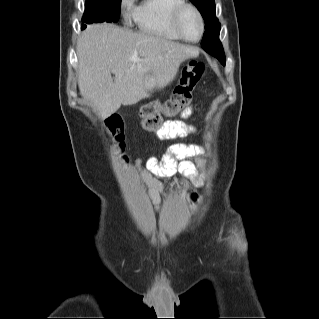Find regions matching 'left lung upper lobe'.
Wrapping results in <instances>:
<instances>
[{
    "label": "left lung upper lobe",
    "mask_w": 319,
    "mask_h": 319,
    "mask_svg": "<svg viewBox=\"0 0 319 319\" xmlns=\"http://www.w3.org/2000/svg\"><path fill=\"white\" fill-rule=\"evenodd\" d=\"M190 1L198 8L205 20V32L201 42L202 48L215 56L223 65H225V54L219 40L220 23L215 16L214 0ZM208 49H211L214 53H211Z\"/></svg>",
    "instance_id": "obj_1"
}]
</instances>
